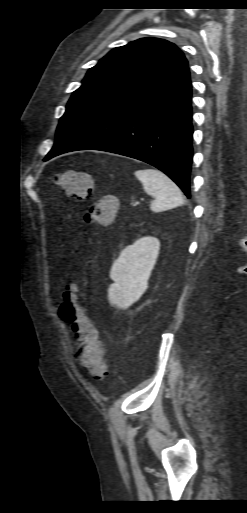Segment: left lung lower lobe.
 I'll return each mask as SVG.
<instances>
[{"instance_id": "0a47b994", "label": "left lung lower lobe", "mask_w": 247, "mask_h": 513, "mask_svg": "<svg viewBox=\"0 0 247 513\" xmlns=\"http://www.w3.org/2000/svg\"><path fill=\"white\" fill-rule=\"evenodd\" d=\"M191 82L188 66L144 95L96 119L55 146L45 161L65 152L101 150L149 163L190 198Z\"/></svg>"}]
</instances>
